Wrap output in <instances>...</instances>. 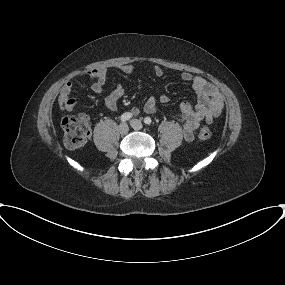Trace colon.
<instances>
[{"instance_id":"5ec220e1","label":"colon","mask_w":285,"mask_h":285,"mask_svg":"<svg viewBox=\"0 0 285 285\" xmlns=\"http://www.w3.org/2000/svg\"><path fill=\"white\" fill-rule=\"evenodd\" d=\"M61 126L64 132V142L68 148L79 149L86 145L91 129L88 118L85 115L65 117ZM198 136L202 140H207L211 137V131L206 125H203L199 130Z\"/></svg>"}]
</instances>
